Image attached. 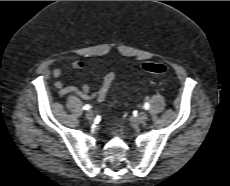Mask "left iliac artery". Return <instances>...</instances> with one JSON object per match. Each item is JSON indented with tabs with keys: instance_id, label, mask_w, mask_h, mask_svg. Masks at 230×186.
Here are the masks:
<instances>
[{
	"instance_id": "44dca946",
	"label": "left iliac artery",
	"mask_w": 230,
	"mask_h": 186,
	"mask_svg": "<svg viewBox=\"0 0 230 186\" xmlns=\"http://www.w3.org/2000/svg\"><path fill=\"white\" fill-rule=\"evenodd\" d=\"M144 108H145L146 110H148V109L150 108V104H149L148 102H146V103L144 104Z\"/></svg>"
}]
</instances>
